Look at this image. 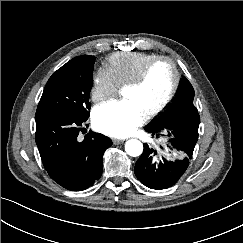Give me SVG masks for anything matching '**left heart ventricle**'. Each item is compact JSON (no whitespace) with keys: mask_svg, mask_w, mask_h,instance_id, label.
Instances as JSON below:
<instances>
[{"mask_svg":"<svg viewBox=\"0 0 243 243\" xmlns=\"http://www.w3.org/2000/svg\"><path fill=\"white\" fill-rule=\"evenodd\" d=\"M173 69L168 62L156 64L144 84L136 89H124L123 98L133 102L146 115L167 97L173 83Z\"/></svg>","mask_w":243,"mask_h":243,"instance_id":"1","label":"left heart ventricle"}]
</instances>
